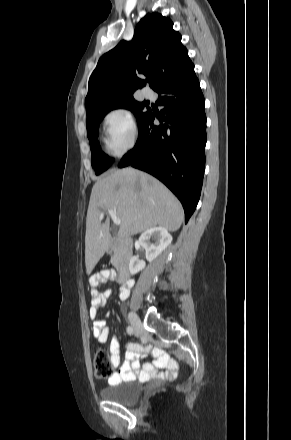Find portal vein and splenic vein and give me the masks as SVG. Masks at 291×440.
<instances>
[{"mask_svg": "<svg viewBox=\"0 0 291 440\" xmlns=\"http://www.w3.org/2000/svg\"><path fill=\"white\" fill-rule=\"evenodd\" d=\"M115 225H120L121 220L117 217L116 212L113 209H107Z\"/></svg>", "mask_w": 291, "mask_h": 440, "instance_id": "18ae733b", "label": "portal vein and splenic vein"}]
</instances>
